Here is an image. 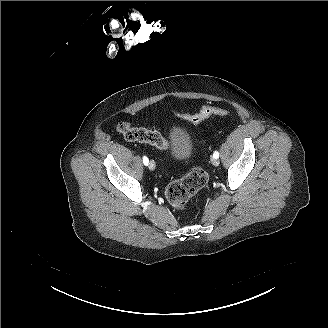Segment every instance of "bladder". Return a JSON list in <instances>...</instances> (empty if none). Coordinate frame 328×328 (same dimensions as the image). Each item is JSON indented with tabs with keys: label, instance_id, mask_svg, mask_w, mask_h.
<instances>
[{
	"label": "bladder",
	"instance_id": "bladder-1",
	"mask_svg": "<svg viewBox=\"0 0 328 328\" xmlns=\"http://www.w3.org/2000/svg\"><path fill=\"white\" fill-rule=\"evenodd\" d=\"M193 146L194 144L188 135L181 133L180 131L174 134L172 149L176 154L187 157L188 149L193 148Z\"/></svg>",
	"mask_w": 328,
	"mask_h": 328
}]
</instances>
